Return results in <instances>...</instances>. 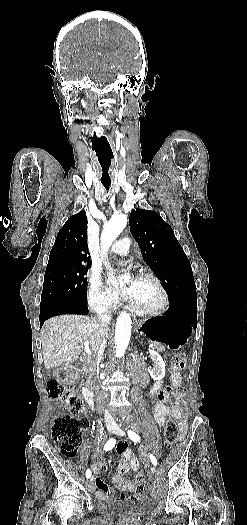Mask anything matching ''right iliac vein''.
Instances as JSON below:
<instances>
[{
    "mask_svg": "<svg viewBox=\"0 0 247 525\" xmlns=\"http://www.w3.org/2000/svg\"><path fill=\"white\" fill-rule=\"evenodd\" d=\"M107 431L108 432H113L114 431V427L113 426H107ZM93 476L91 477L90 481L92 482L93 481Z\"/></svg>",
    "mask_w": 247,
    "mask_h": 525,
    "instance_id": "1",
    "label": "right iliac vein"
}]
</instances>
